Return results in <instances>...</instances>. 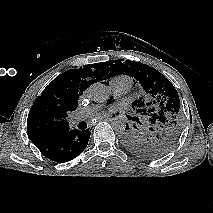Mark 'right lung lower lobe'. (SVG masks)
<instances>
[{"label":"right lung lower lobe","mask_w":213,"mask_h":213,"mask_svg":"<svg viewBox=\"0 0 213 213\" xmlns=\"http://www.w3.org/2000/svg\"><path fill=\"white\" fill-rule=\"evenodd\" d=\"M90 131L68 130L51 137L36 138L32 142L46 158L64 163L77 157L86 148Z\"/></svg>","instance_id":"right-lung-lower-lobe-1"}]
</instances>
